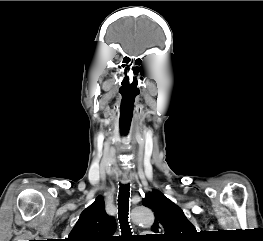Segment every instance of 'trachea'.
Returning a JSON list of instances; mask_svg holds the SVG:
<instances>
[{
  "instance_id": "trachea-1",
  "label": "trachea",
  "mask_w": 263,
  "mask_h": 241,
  "mask_svg": "<svg viewBox=\"0 0 263 241\" xmlns=\"http://www.w3.org/2000/svg\"><path fill=\"white\" fill-rule=\"evenodd\" d=\"M129 197H130V185L121 184L119 188V195H118V219L122 233L120 239L123 241H128L132 237V232L128 221Z\"/></svg>"
}]
</instances>
